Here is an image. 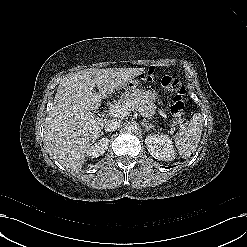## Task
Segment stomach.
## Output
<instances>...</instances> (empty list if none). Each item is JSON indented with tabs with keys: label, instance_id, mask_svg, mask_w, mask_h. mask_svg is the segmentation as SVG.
Returning a JSON list of instances; mask_svg holds the SVG:
<instances>
[{
	"label": "stomach",
	"instance_id": "obj_1",
	"mask_svg": "<svg viewBox=\"0 0 247 247\" xmlns=\"http://www.w3.org/2000/svg\"><path fill=\"white\" fill-rule=\"evenodd\" d=\"M138 85V81L137 80H130L128 81L123 88L127 90V92L125 93L124 97H131V96H135L138 93V89H136ZM142 95L145 96V98L149 99L150 101L154 102L157 98H158V92L155 90H148V91H140Z\"/></svg>",
	"mask_w": 247,
	"mask_h": 247
}]
</instances>
